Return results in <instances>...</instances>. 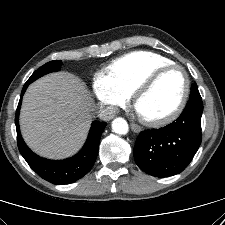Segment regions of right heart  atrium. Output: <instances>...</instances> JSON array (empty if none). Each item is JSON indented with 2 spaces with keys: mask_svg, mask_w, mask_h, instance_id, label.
Returning <instances> with one entry per match:
<instances>
[{
  "mask_svg": "<svg viewBox=\"0 0 225 225\" xmlns=\"http://www.w3.org/2000/svg\"><path fill=\"white\" fill-rule=\"evenodd\" d=\"M92 87L97 100L112 111L125 106L129 101V95L121 91L104 73L95 74Z\"/></svg>",
  "mask_w": 225,
  "mask_h": 225,
  "instance_id": "obj_1",
  "label": "right heart atrium"
}]
</instances>
